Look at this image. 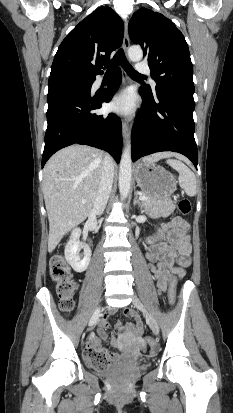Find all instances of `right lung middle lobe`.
I'll return each mask as SVG.
<instances>
[{
  "label": "right lung middle lobe",
  "instance_id": "right-lung-middle-lobe-1",
  "mask_svg": "<svg viewBox=\"0 0 233 413\" xmlns=\"http://www.w3.org/2000/svg\"><path fill=\"white\" fill-rule=\"evenodd\" d=\"M86 78H79V77H69V78H62L59 80H55V81H49L48 84L51 85L53 83H57V82H67V81H72V82H83L85 81Z\"/></svg>",
  "mask_w": 233,
  "mask_h": 413
}]
</instances>
